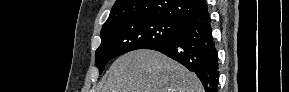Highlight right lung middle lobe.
<instances>
[{"instance_id": "1", "label": "right lung middle lobe", "mask_w": 289, "mask_h": 92, "mask_svg": "<svg viewBox=\"0 0 289 92\" xmlns=\"http://www.w3.org/2000/svg\"><path fill=\"white\" fill-rule=\"evenodd\" d=\"M182 27V23L156 17L132 18L103 27L101 45L95 53L99 73L110 59L166 41L179 33Z\"/></svg>"}]
</instances>
